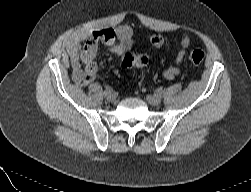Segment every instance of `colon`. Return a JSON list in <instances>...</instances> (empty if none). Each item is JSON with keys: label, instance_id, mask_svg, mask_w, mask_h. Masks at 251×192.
I'll return each mask as SVG.
<instances>
[{"label": "colon", "instance_id": "obj_1", "mask_svg": "<svg viewBox=\"0 0 251 192\" xmlns=\"http://www.w3.org/2000/svg\"><path fill=\"white\" fill-rule=\"evenodd\" d=\"M151 44L156 48H161L166 44L164 37L154 35L151 37ZM205 58V51L202 49H193L188 54V60L193 64H200ZM148 64V57L145 55L134 54L130 51H125L122 54L121 65L125 69L133 67H144Z\"/></svg>", "mask_w": 251, "mask_h": 192}]
</instances>
